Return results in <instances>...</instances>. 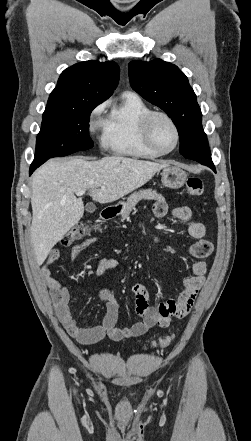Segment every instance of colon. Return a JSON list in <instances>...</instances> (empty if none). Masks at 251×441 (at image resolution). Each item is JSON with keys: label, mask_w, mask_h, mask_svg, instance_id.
Listing matches in <instances>:
<instances>
[{"label": "colon", "mask_w": 251, "mask_h": 441, "mask_svg": "<svg viewBox=\"0 0 251 441\" xmlns=\"http://www.w3.org/2000/svg\"><path fill=\"white\" fill-rule=\"evenodd\" d=\"M186 192L190 197H200L203 194V182L199 178L191 177L186 182ZM91 233V228L85 223H79L73 226L61 239V244L69 246L74 242L84 238ZM174 339V335L165 336L152 344L154 348H165L169 346Z\"/></svg>", "instance_id": "1"}]
</instances>
